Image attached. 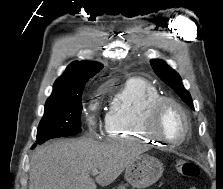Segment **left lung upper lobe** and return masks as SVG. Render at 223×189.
Here are the masks:
<instances>
[{
	"instance_id": "1",
	"label": "left lung upper lobe",
	"mask_w": 223,
	"mask_h": 189,
	"mask_svg": "<svg viewBox=\"0 0 223 189\" xmlns=\"http://www.w3.org/2000/svg\"><path fill=\"white\" fill-rule=\"evenodd\" d=\"M150 63L156 75L171 87L185 103L193 108L191 96L184 88L180 76L164 61L152 60Z\"/></svg>"
}]
</instances>
